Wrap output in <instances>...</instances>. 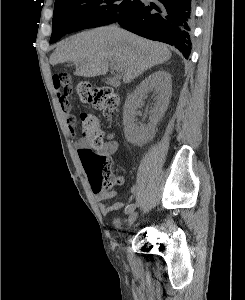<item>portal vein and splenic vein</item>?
<instances>
[{"label":"portal vein and splenic vein","mask_w":245,"mask_h":300,"mask_svg":"<svg viewBox=\"0 0 245 300\" xmlns=\"http://www.w3.org/2000/svg\"><path fill=\"white\" fill-rule=\"evenodd\" d=\"M111 68H113V70H115L117 73H120L121 70L118 66H116L114 63H110Z\"/></svg>","instance_id":"portal-vein-and-splenic-vein-1"}]
</instances>
